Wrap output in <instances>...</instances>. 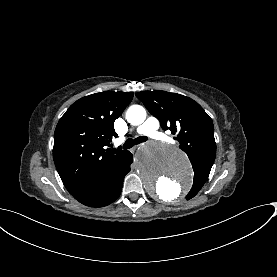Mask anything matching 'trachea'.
I'll return each instance as SVG.
<instances>
[{"label":"trachea","mask_w":277,"mask_h":277,"mask_svg":"<svg viewBox=\"0 0 277 277\" xmlns=\"http://www.w3.org/2000/svg\"><path fill=\"white\" fill-rule=\"evenodd\" d=\"M147 140H148V138L145 137V136H140V137H137L135 139L129 138L125 141V143L123 145V149H130L134 145L140 144V143L145 142Z\"/></svg>","instance_id":"obj_1"}]
</instances>
